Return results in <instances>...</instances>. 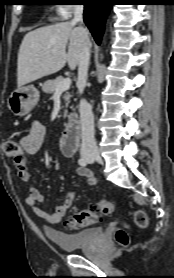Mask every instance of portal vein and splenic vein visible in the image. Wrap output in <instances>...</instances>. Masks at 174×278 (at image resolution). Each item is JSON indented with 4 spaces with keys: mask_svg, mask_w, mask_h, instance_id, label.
I'll use <instances>...</instances> for the list:
<instances>
[{
    "mask_svg": "<svg viewBox=\"0 0 174 278\" xmlns=\"http://www.w3.org/2000/svg\"><path fill=\"white\" fill-rule=\"evenodd\" d=\"M71 85V79L70 78H65L63 81H61L55 89V92H63L65 90H68L70 88Z\"/></svg>",
    "mask_w": 174,
    "mask_h": 278,
    "instance_id": "1",
    "label": "portal vein and splenic vein"
}]
</instances>
